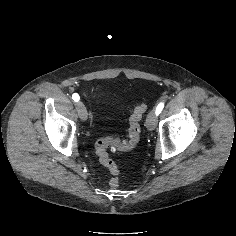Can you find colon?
<instances>
[{
	"label": "colon",
	"mask_w": 236,
	"mask_h": 236,
	"mask_svg": "<svg viewBox=\"0 0 236 236\" xmlns=\"http://www.w3.org/2000/svg\"><path fill=\"white\" fill-rule=\"evenodd\" d=\"M147 104L138 105L129 119V129L127 139H119L106 136L99 139L95 144L96 155L102 165H104L112 174L110 185L118 187L122 182V176L116 163L109 157L108 149L128 152L133 150L139 143L141 136L140 120L147 111Z\"/></svg>",
	"instance_id": "colon-1"
}]
</instances>
